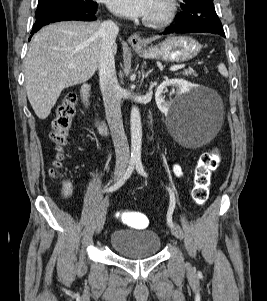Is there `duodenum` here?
I'll return each instance as SVG.
<instances>
[{"label":"duodenum","mask_w":267,"mask_h":301,"mask_svg":"<svg viewBox=\"0 0 267 301\" xmlns=\"http://www.w3.org/2000/svg\"><path fill=\"white\" fill-rule=\"evenodd\" d=\"M81 96L84 102V105L86 106V108L91 112V114L93 115L96 124L98 125V127L101 130L105 129V123L104 121L99 117V115L96 113V111L94 110V106L93 103L91 101L90 98V85L88 83H84L81 87Z\"/></svg>","instance_id":"410a0bca"}]
</instances>
